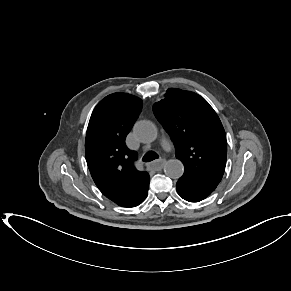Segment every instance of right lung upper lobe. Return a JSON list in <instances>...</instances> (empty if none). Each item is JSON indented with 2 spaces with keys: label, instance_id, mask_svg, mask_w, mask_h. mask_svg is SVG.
<instances>
[{
  "label": "right lung upper lobe",
  "instance_id": "obj_1",
  "mask_svg": "<svg viewBox=\"0 0 291 291\" xmlns=\"http://www.w3.org/2000/svg\"><path fill=\"white\" fill-rule=\"evenodd\" d=\"M142 109V100L127 93H113L92 112L85 139V156L99 190L119 206H132L148 193L149 174L138 171L137 158L125 138Z\"/></svg>",
  "mask_w": 291,
  "mask_h": 291
}]
</instances>
